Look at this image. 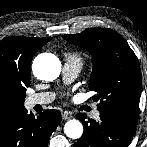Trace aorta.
Listing matches in <instances>:
<instances>
[{
    "mask_svg": "<svg viewBox=\"0 0 147 147\" xmlns=\"http://www.w3.org/2000/svg\"><path fill=\"white\" fill-rule=\"evenodd\" d=\"M32 70L38 79L53 81L61 72V63L55 55L42 53L34 59ZM64 132L67 137L71 139H78L83 134V125L76 119L69 120L64 126Z\"/></svg>",
    "mask_w": 147,
    "mask_h": 147,
    "instance_id": "1",
    "label": "aorta"
}]
</instances>
